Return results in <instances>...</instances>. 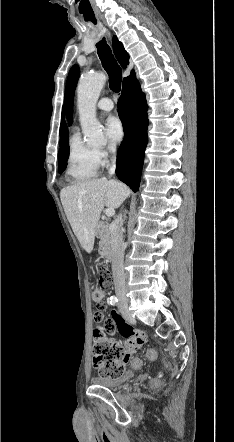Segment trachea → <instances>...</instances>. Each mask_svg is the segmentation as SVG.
Wrapping results in <instances>:
<instances>
[{"mask_svg": "<svg viewBox=\"0 0 234 442\" xmlns=\"http://www.w3.org/2000/svg\"><path fill=\"white\" fill-rule=\"evenodd\" d=\"M96 46L103 68L109 76V87L112 91L118 93L121 90L122 70L116 62L105 38L99 41Z\"/></svg>", "mask_w": 234, "mask_h": 442, "instance_id": "1", "label": "trachea"}]
</instances>
